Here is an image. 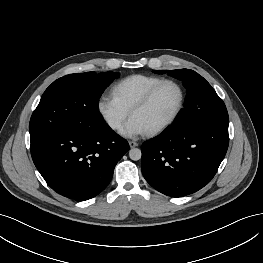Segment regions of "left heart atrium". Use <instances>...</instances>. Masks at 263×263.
Returning <instances> with one entry per match:
<instances>
[{
	"instance_id": "39dd6f15",
	"label": "left heart atrium",
	"mask_w": 263,
	"mask_h": 263,
	"mask_svg": "<svg viewBox=\"0 0 263 263\" xmlns=\"http://www.w3.org/2000/svg\"><path fill=\"white\" fill-rule=\"evenodd\" d=\"M146 132L144 126L134 117H131L120 130L123 136L130 138L145 134Z\"/></svg>"
}]
</instances>
